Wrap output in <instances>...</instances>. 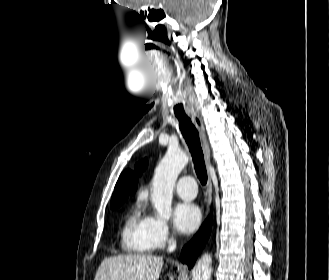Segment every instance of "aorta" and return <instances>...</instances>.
Listing matches in <instances>:
<instances>
[{"instance_id":"obj_1","label":"aorta","mask_w":329,"mask_h":280,"mask_svg":"<svg viewBox=\"0 0 329 280\" xmlns=\"http://www.w3.org/2000/svg\"><path fill=\"white\" fill-rule=\"evenodd\" d=\"M186 153L178 148H169L155 169L152 180V203L162 218L169 219L172 214L173 188L178 175L188 163ZM212 256L205 253L192 269V280H210Z\"/></svg>"}]
</instances>
